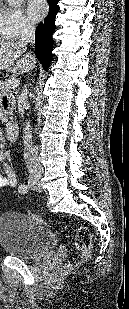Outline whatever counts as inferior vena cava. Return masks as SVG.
<instances>
[{
	"mask_svg": "<svg viewBox=\"0 0 129 309\" xmlns=\"http://www.w3.org/2000/svg\"><path fill=\"white\" fill-rule=\"evenodd\" d=\"M35 42V27L32 23L25 22L22 26L21 30V37H20V45L23 47H26L27 44L33 45ZM31 59L35 60V57L33 55H30ZM28 98V88L25 85L23 90L21 91L20 95L18 96V110L21 116L23 117L24 114V106L26 104ZM27 158L33 162V166L35 169H40V165L38 163V156L37 151L35 148L29 149V152L27 153Z\"/></svg>",
	"mask_w": 129,
	"mask_h": 309,
	"instance_id": "1",
	"label": "inferior vena cava"
}]
</instances>
